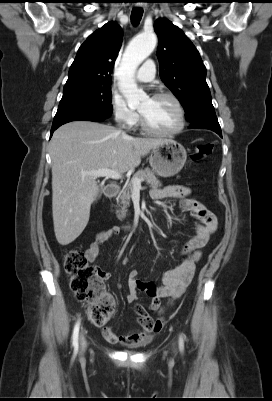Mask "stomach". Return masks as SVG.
<instances>
[{
    "mask_svg": "<svg viewBox=\"0 0 272 401\" xmlns=\"http://www.w3.org/2000/svg\"><path fill=\"white\" fill-rule=\"evenodd\" d=\"M187 159L185 148L172 139L152 149L149 163L152 170L161 177H172L179 173Z\"/></svg>",
    "mask_w": 272,
    "mask_h": 401,
    "instance_id": "stomach-1",
    "label": "stomach"
}]
</instances>
